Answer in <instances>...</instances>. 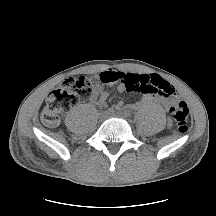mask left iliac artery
<instances>
[{
  "label": "left iliac artery",
  "instance_id": "obj_1",
  "mask_svg": "<svg viewBox=\"0 0 216 216\" xmlns=\"http://www.w3.org/2000/svg\"><path fill=\"white\" fill-rule=\"evenodd\" d=\"M124 115H125L126 117H129V116L131 115V113H130L129 110H125V111H124Z\"/></svg>",
  "mask_w": 216,
  "mask_h": 216
}]
</instances>
